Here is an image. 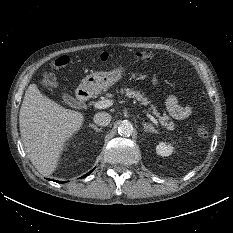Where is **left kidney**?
<instances>
[{"instance_id": "5707ae66", "label": "left kidney", "mask_w": 233, "mask_h": 233, "mask_svg": "<svg viewBox=\"0 0 233 233\" xmlns=\"http://www.w3.org/2000/svg\"><path fill=\"white\" fill-rule=\"evenodd\" d=\"M156 151H157L158 155L166 157V156H169L173 153L174 147L171 144H167L165 142H160L156 146Z\"/></svg>"}]
</instances>
